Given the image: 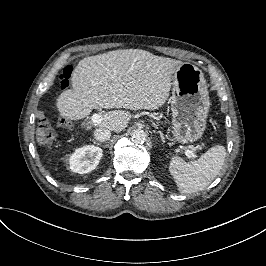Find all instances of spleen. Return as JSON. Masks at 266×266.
I'll list each match as a JSON object with an SVG mask.
<instances>
[{
    "label": "spleen",
    "mask_w": 266,
    "mask_h": 266,
    "mask_svg": "<svg viewBox=\"0 0 266 266\" xmlns=\"http://www.w3.org/2000/svg\"><path fill=\"white\" fill-rule=\"evenodd\" d=\"M225 157V147L217 145L211 147L198 160L189 163L181 157H172L169 171L181 193H196L208 187L219 175Z\"/></svg>",
    "instance_id": "1"
}]
</instances>
